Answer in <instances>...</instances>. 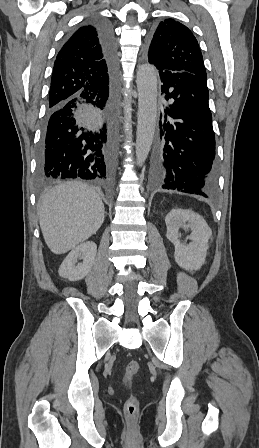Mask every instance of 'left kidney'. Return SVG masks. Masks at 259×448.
Masks as SVG:
<instances>
[{
    "mask_svg": "<svg viewBox=\"0 0 259 448\" xmlns=\"http://www.w3.org/2000/svg\"><path fill=\"white\" fill-rule=\"evenodd\" d=\"M186 222H188L186 226ZM167 226V238L175 246V262L180 268L187 272L200 270L203 266L207 254L208 240L212 236V232L207 226L202 216L192 212V210H181L174 208L165 218ZM179 228H191V236H189L190 244L184 246L180 244Z\"/></svg>",
    "mask_w": 259,
    "mask_h": 448,
    "instance_id": "obj_1",
    "label": "left kidney"
}]
</instances>
